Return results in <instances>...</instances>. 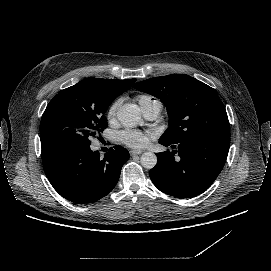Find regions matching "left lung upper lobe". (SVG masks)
<instances>
[{
  "mask_svg": "<svg viewBox=\"0 0 271 271\" xmlns=\"http://www.w3.org/2000/svg\"><path fill=\"white\" fill-rule=\"evenodd\" d=\"M135 89L159 98L170 117L162 141L177 144L194 140L200 134L230 137L226 110L216 91L184 74L150 78Z\"/></svg>",
  "mask_w": 271,
  "mask_h": 271,
  "instance_id": "1",
  "label": "left lung upper lobe"
}]
</instances>
